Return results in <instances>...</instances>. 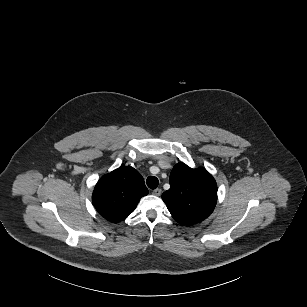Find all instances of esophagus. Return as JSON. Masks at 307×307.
Listing matches in <instances>:
<instances>
[{
	"label": "esophagus",
	"instance_id": "34e87169",
	"mask_svg": "<svg viewBox=\"0 0 307 307\" xmlns=\"http://www.w3.org/2000/svg\"><path fill=\"white\" fill-rule=\"evenodd\" d=\"M152 194H153L154 196H160V195H161V189H155V190H153V191H152Z\"/></svg>",
	"mask_w": 307,
	"mask_h": 307
}]
</instances>
